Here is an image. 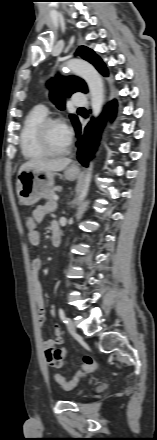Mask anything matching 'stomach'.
<instances>
[{
  "instance_id": "0dacf381",
  "label": "stomach",
  "mask_w": 157,
  "mask_h": 440,
  "mask_svg": "<svg viewBox=\"0 0 157 440\" xmlns=\"http://www.w3.org/2000/svg\"><path fill=\"white\" fill-rule=\"evenodd\" d=\"M79 171L72 167H67L63 176L67 180H74ZM55 173L50 171H40L30 169L18 173L16 181V192L19 202L25 206H31L45 197L54 186Z\"/></svg>"
}]
</instances>
